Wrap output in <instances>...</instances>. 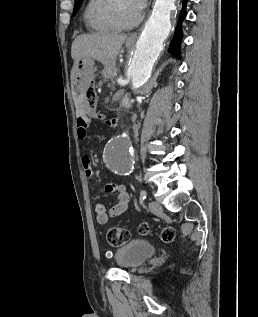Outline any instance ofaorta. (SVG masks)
<instances>
[{
    "mask_svg": "<svg viewBox=\"0 0 258 317\" xmlns=\"http://www.w3.org/2000/svg\"><path fill=\"white\" fill-rule=\"evenodd\" d=\"M176 0H156L152 14L140 35L129 67L133 90L142 87L149 79L152 68L163 50V42L171 30L170 15ZM106 166L119 175L129 174L134 157L128 131L113 137L104 150Z\"/></svg>",
    "mask_w": 258,
    "mask_h": 317,
    "instance_id": "1",
    "label": "aorta"
}]
</instances>
